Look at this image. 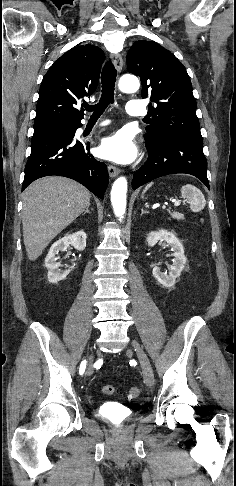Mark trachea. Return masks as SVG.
Wrapping results in <instances>:
<instances>
[{"label":"trachea","mask_w":236,"mask_h":486,"mask_svg":"<svg viewBox=\"0 0 236 486\" xmlns=\"http://www.w3.org/2000/svg\"><path fill=\"white\" fill-rule=\"evenodd\" d=\"M117 71L113 64L108 61L102 70L101 83H102V95L99 103L96 105H87L85 109L89 112H93L91 119H98L107 106L114 103V89L116 82Z\"/></svg>","instance_id":"1"}]
</instances>
